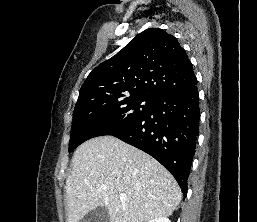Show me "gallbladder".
Returning <instances> with one entry per match:
<instances>
[{
    "label": "gallbladder",
    "mask_w": 257,
    "mask_h": 222,
    "mask_svg": "<svg viewBox=\"0 0 257 222\" xmlns=\"http://www.w3.org/2000/svg\"><path fill=\"white\" fill-rule=\"evenodd\" d=\"M110 216L106 207H97L87 213L80 222H110Z\"/></svg>",
    "instance_id": "gallbladder-1"
}]
</instances>
